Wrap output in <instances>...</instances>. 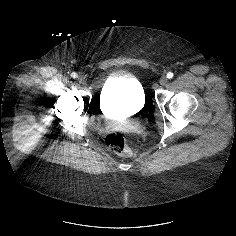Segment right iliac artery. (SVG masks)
<instances>
[{"label": "right iliac artery", "instance_id": "1", "mask_svg": "<svg viewBox=\"0 0 236 236\" xmlns=\"http://www.w3.org/2000/svg\"><path fill=\"white\" fill-rule=\"evenodd\" d=\"M77 76H78L77 73H75V72L71 73L72 78H77Z\"/></svg>", "mask_w": 236, "mask_h": 236}]
</instances>
